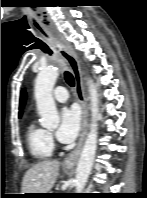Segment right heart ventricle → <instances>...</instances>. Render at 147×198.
Instances as JSON below:
<instances>
[{
    "label": "right heart ventricle",
    "mask_w": 147,
    "mask_h": 198,
    "mask_svg": "<svg viewBox=\"0 0 147 198\" xmlns=\"http://www.w3.org/2000/svg\"><path fill=\"white\" fill-rule=\"evenodd\" d=\"M26 139L30 153L35 159L45 160L52 156L53 143L45 128L31 122L26 130Z\"/></svg>",
    "instance_id": "1"
}]
</instances>
